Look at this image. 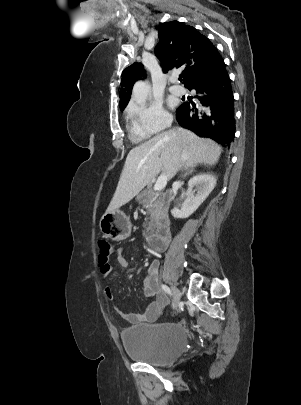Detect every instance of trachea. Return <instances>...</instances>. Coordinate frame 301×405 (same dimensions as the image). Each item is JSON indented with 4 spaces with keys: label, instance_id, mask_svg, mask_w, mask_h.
<instances>
[{
    "label": "trachea",
    "instance_id": "1",
    "mask_svg": "<svg viewBox=\"0 0 301 405\" xmlns=\"http://www.w3.org/2000/svg\"><path fill=\"white\" fill-rule=\"evenodd\" d=\"M179 81H182V77H179Z\"/></svg>",
    "mask_w": 301,
    "mask_h": 405
}]
</instances>
